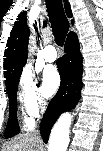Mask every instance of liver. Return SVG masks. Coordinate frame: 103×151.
Here are the masks:
<instances>
[{"instance_id":"1","label":"liver","mask_w":103,"mask_h":151,"mask_svg":"<svg viewBox=\"0 0 103 151\" xmlns=\"http://www.w3.org/2000/svg\"><path fill=\"white\" fill-rule=\"evenodd\" d=\"M42 141L37 134H23L1 147V151H41Z\"/></svg>"}]
</instances>
